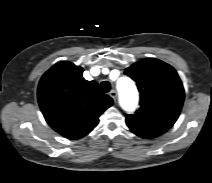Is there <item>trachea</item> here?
<instances>
[{
  "mask_svg": "<svg viewBox=\"0 0 212 183\" xmlns=\"http://www.w3.org/2000/svg\"><path fill=\"white\" fill-rule=\"evenodd\" d=\"M101 89H102L103 92H106V93L109 92L110 89H111L110 83L108 81H103L101 83Z\"/></svg>",
  "mask_w": 212,
  "mask_h": 183,
  "instance_id": "obj_1",
  "label": "trachea"
}]
</instances>
